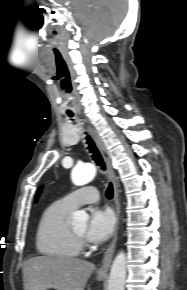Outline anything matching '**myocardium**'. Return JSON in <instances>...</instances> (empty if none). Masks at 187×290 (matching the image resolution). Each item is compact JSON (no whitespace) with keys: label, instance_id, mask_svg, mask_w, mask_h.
<instances>
[{"label":"myocardium","instance_id":"1","mask_svg":"<svg viewBox=\"0 0 187 290\" xmlns=\"http://www.w3.org/2000/svg\"><path fill=\"white\" fill-rule=\"evenodd\" d=\"M70 233L73 240L75 241L76 245L78 246L80 250L86 248L87 243L84 236L77 234L71 227H70Z\"/></svg>","mask_w":187,"mask_h":290}]
</instances>
